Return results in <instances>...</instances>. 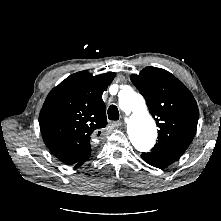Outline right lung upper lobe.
<instances>
[{
	"label": "right lung upper lobe",
	"instance_id": "right-lung-upper-lobe-1",
	"mask_svg": "<svg viewBox=\"0 0 221 221\" xmlns=\"http://www.w3.org/2000/svg\"><path fill=\"white\" fill-rule=\"evenodd\" d=\"M115 73L72 74L47 96L39 122L43 140L60 161L77 165L91 154V140L107 125L104 90Z\"/></svg>",
	"mask_w": 221,
	"mask_h": 221
}]
</instances>
